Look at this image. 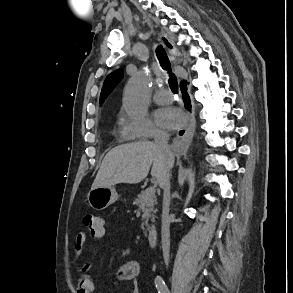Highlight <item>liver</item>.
Returning a JSON list of instances; mask_svg holds the SVG:
<instances>
[{
    "instance_id": "obj_1",
    "label": "liver",
    "mask_w": 293,
    "mask_h": 293,
    "mask_svg": "<svg viewBox=\"0 0 293 293\" xmlns=\"http://www.w3.org/2000/svg\"><path fill=\"white\" fill-rule=\"evenodd\" d=\"M173 165L174 156L169 160L153 142L120 145L104 157L91 189L120 183L137 184L147 177L151 166V175L160 184Z\"/></svg>"
}]
</instances>
